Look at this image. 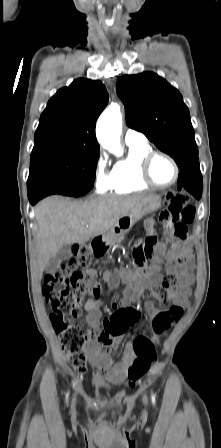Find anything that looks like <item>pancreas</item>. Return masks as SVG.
I'll return each instance as SVG.
<instances>
[{
  "label": "pancreas",
  "mask_w": 221,
  "mask_h": 448,
  "mask_svg": "<svg viewBox=\"0 0 221 448\" xmlns=\"http://www.w3.org/2000/svg\"><path fill=\"white\" fill-rule=\"evenodd\" d=\"M122 240H123V237L118 240V243H120Z\"/></svg>",
  "instance_id": "cf45deb5"
}]
</instances>
